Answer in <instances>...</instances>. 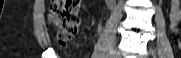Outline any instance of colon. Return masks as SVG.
I'll list each match as a JSON object with an SVG mask.
<instances>
[{"label":"colon","instance_id":"colon-1","mask_svg":"<svg viewBox=\"0 0 181 58\" xmlns=\"http://www.w3.org/2000/svg\"><path fill=\"white\" fill-rule=\"evenodd\" d=\"M80 4V0H52L49 17L57 27V44L64 46L77 34ZM178 47L181 50V36L178 39Z\"/></svg>","mask_w":181,"mask_h":58}]
</instances>
